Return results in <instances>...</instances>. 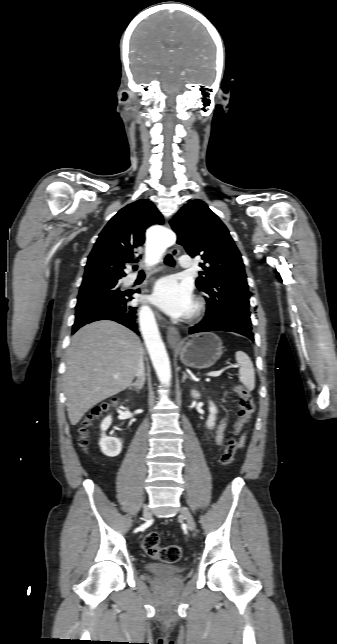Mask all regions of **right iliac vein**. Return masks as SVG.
Here are the masks:
<instances>
[{
  "instance_id": "1",
  "label": "right iliac vein",
  "mask_w": 337,
  "mask_h": 644,
  "mask_svg": "<svg viewBox=\"0 0 337 644\" xmlns=\"http://www.w3.org/2000/svg\"><path fill=\"white\" fill-rule=\"evenodd\" d=\"M149 515H150L149 510H148V509H145V510H144V516H146V517H147V516H149Z\"/></svg>"
}]
</instances>
